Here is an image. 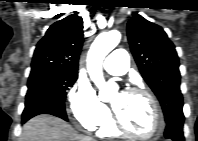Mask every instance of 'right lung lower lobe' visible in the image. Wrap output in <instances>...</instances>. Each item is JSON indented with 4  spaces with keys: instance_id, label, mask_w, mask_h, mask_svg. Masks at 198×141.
<instances>
[{
    "instance_id": "right-lung-lower-lobe-1",
    "label": "right lung lower lobe",
    "mask_w": 198,
    "mask_h": 141,
    "mask_svg": "<svg viewBox=\"0 0 198 141\" xmlns=\"http://www.w3.org/2000/svg\"><path fill=\"white\" fill-rule=\"evenodd\" d=\"M39 114H50L68 121L66 112L63 110L45 105H30L24 109L22 123Z\"/></svg>"
}]
</instances>
